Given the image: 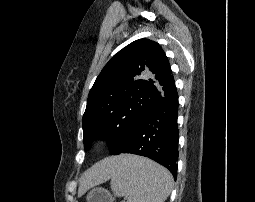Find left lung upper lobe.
Masks as SVG:
<instances>
[{"mask_svg": "<svg viewBox=\"0 0 255 202\" xmlns=\"http://www.w3.org/2000/svg\"><path fill=\"white\" fill-rule=\"evenodd\" d=\"M176 91L168 59L160 45L136 40L115 54L90 90L83 115L85 149L107 139L110 154L126 146L147 114Z\"/></svg>", "mask_w": 255, "mask_h": 202, "instance_id": "obj_1", "label": "left lung upper lobe"}]
</instances>
